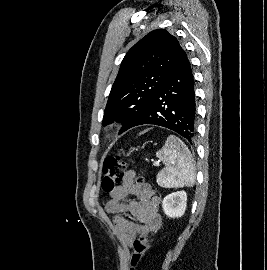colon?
Listing matches in <instances>:
<instances>
[{
	"label": "colon",
	"instance_id": "obj_1",
	"mask_svg": "<svg viewBox=\"0 0 267 270\" xmlns=\"http://www.w3.org/2000/svg\"><path fill=\"white\" fill-rule=\"evenodd\" d=\"M128 164L119 156L112 155L105 159L103 164V179L101 188L104 193L113 192L125 175ZM138 183H144V179L138 176ZM150 247V240L147 236H138L134 242L131 253V270H135L139 262L145 256Z\"/></svg>",
	"mask_w": 267,
	"mask_h": 270
}]
</instances>
